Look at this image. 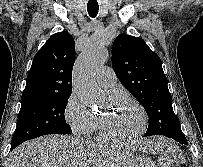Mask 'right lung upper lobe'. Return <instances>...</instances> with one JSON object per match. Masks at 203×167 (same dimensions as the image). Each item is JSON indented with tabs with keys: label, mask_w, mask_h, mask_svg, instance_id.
Wrapping results in <instances>:
<instances>
[{
	"label": "right lung upper lobe",
	"mask_w": 203,
	"mask_h": 167,
	"mask_svg": "<svg viewBox=\"0 0 203 167\" xmlns=\"http://www.w3.org/2000/svg\"><path fill=\"white\" fill-rule=\"evenodd\" d=\"M75 42L67 32L53 34L36 53L21 101L72 93Z\"/></svg>",
	"instance_id": "obj_1"
}]
</instances>
